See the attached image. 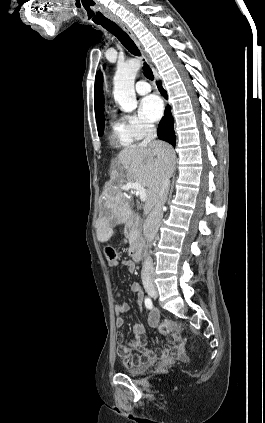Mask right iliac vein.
<instances>
[{
  "instance_id": "obj_1",
  "label": "right iliac vein",
  "mask_w": 265,
  "mask_h": 423,
  "mask_svg": "<svg viewBox=\"0 0 265 423\" xmlns=\"http://www.w3.org/2000/svg\"><path fill=\"white\" fill-rule=\"evenodd\" d=\"M143 285L149 296L153 298L158 296L157 289L151 280H144Z\"/></svg>"
}]
</instances>
